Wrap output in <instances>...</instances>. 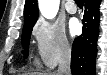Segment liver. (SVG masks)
<instances>
[{
    "instance_id": "liver-1",
    "label": "liver",
    "mask_w": 107,
    "mask_h": 75,
    "mask_svg": "<svg viewBox=\"0 0 107 75\" xmlns=\"http://www.w3.org/2000/svg\"><path fill=\"white\" fill-rule=\"evenodd\" d=\"M25 75H57V74L56 72H52V73H29Z\"/></svg>"
}]
</instances>
